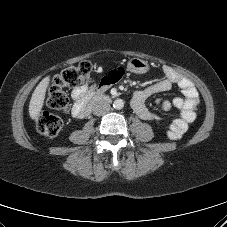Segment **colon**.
Instances as JSON below:
<instances>
[{"instance_id": "1", "label": "colon", "mask_w": 227, "mask_h": 227, "mask_svg": "<svg viewBox=\"0 0 227 227\" xmlns=\"http://www.w3.org/2000/svg\"><path fill=\"white\" fill-rule=\"evenodd\" d=\"M92 72V64L83 61L70 66L54 77L48 91L47 103L50 108L67 111L70 107L67 88L76 87L88 81ZM63 127V120L52 113L41 111L36 118L37 131L45 136H56Z\"/></svg>"}]
</instances>
